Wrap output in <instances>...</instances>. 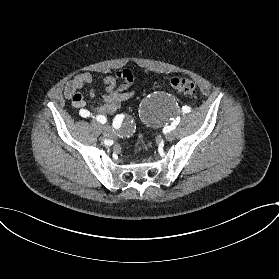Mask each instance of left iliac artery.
I'll return each instance as SVG.
<instances>
[{
	"instance_id": "obj_1",
	"label": "left iliac artery",
	"mask_w": 279,
	"mask_h": 279,
	"mask_svg": "<svg viewBox=\"0 0 279 279\" xmlns=\"http://www.w3.org/2000/svg\"><path fill=\"white\" fill-rule=\"evenodd\" d=\"M190 111H191V110H190V107H189V106H183V107H182V112L188 113V112H190ZM175 126H176V125H173V127H171L170 130L174 129Z\"/></svg>"
}]
</instances>
